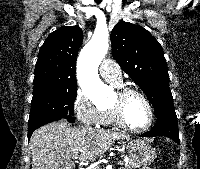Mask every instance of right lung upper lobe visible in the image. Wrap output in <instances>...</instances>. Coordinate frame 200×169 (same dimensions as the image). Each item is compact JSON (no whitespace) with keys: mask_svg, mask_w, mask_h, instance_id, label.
Wrapping results in <instances>:
<instances>
[{"mask_svg":"<svg viewBox=\"0 0 200 169\" xmlns=\"http://www.w3.org/2000/svg\"><path fill=\"white\" fill-rule=\"evenodd\" d=\"M82 41V29L77 25L61 27L47 37L35 66L34 90L77 83L75 65Z\"/></svg>","mask_w":200,"mask_h":169,"instance_id":"right-lung-upper-lobe-1","label":"right lung upper lobe"}]
</instances>
